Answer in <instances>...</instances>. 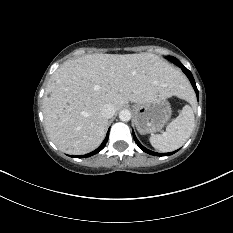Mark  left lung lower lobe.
<instances>
[{
    "instance_id": "0a47b994",
    "label": "left lung lower lobe",
    "mask_w": 233,
    "mask_h": 233,
    "mask_svg": "<svg viewBox=\"0 0 233 233\" xmlns=\"http://www.w3.org/2000/svg\"><path fill=\"white\" fill-rule=\"evenodd\" d=\"M174 64H176L178 67H180L182 69V71L186 74V76L189 78V80H190V82H191V84H192V86H193V88H194V90L196 92L197 98H198V89L196 87L195 80H194L191 72L185 66H183L182 63L179 60H175ZM132 133H133L134 140L137 143V145L139 146V148L142 149L144 152H146L148 154L155 155V156H169V155H172L175 152H177V151H174V152H171V153H156V152L150 151V150H148L147 148H145L144 146L141 145V143L137 140V138H136L133 131H132Z\"/></svg>"
}]
</instances>
